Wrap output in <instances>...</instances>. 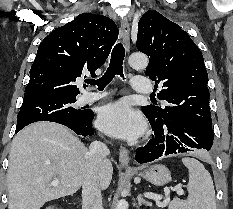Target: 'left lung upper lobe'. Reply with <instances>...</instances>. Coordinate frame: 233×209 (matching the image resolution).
Segmentation results:
<instances>
[{"instance_id":"1","label":"left lung upper lobe","mask_w":233,"mask_h":209,"mask_svg":"<svg viewBox=\"0 0 233 209\" xmlns=\"http://www.w3.org/2000/svg\"><path fill=\"white\" fill-rule=\"evenodd\" d=\"M137 49L149 57L145 75L156 81L158 99L164 108L143 106L154 121L186 118L212 128L208 75L200 49L179 25L155 10L147 11L138 23Z\"/></svg>"}]
</instances>
